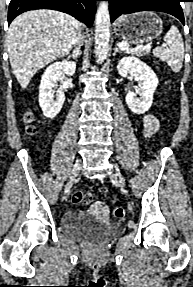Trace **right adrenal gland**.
Returning a JSON list of instances; mask_svg holds the SVG:
<instances>
[{
  "label": "right adrenal gland",
  "instance_id": "2a0ac1e0",
  "mask_svg": "<svg viewBox=\"0 0 193 287\" xmlns=\"http://www.w3.org/2000/svg\"><path fill=\"white\" fill-rule=\"evenodd\" d=\"M81 52V46L77 44L74 46L73 52L71 55H69V58L72 57L74 59H77L81 55Z\"/></svg>",
  "mask_w": 193,
  "mask_h": 287
}]
</instances>
